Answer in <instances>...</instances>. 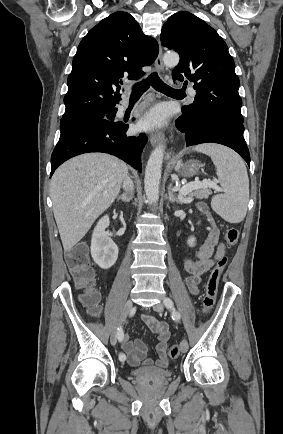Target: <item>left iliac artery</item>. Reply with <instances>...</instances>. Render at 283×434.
I'll list each match as a JSON object with an SVG mask.
<instances>
[{
	"instance_id": "obj_1",
	"label": "left iliac artery",
	"mask_w": 283,
	"mask_h": 434,
	"mask_svg": "<svg viewBox=\"0 0 283 434\" xmlns=\"http://www.w3.org/2000/svg\"><path fill=\"white\" fill-rule=\"evenodd\" d=\"M163 303L166 306V308H168L172 312V318L173 319H175V320L180 319V317H181L180 313L177 310H175L173 301L170 298H165Z\"/></svg>"
}]
</instances>
